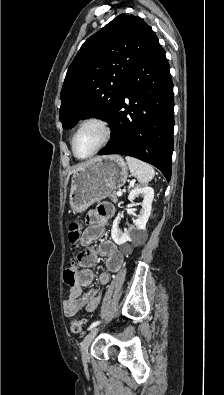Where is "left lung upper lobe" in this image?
<instances>
[{"label":"left lung upper lobe","instance_id":"1","mask_svg":"<svg viewBox=\"0 0 224 395\" xmlns=\"http://www.w3.org/2000/svg\"><path fill=\"white\" fill-rule=\"evenodd\" d=\"M157 41L143 19L126 14L89 37L63 83L59 115L63 128L89 117L109 121L129 76Z\"/></svg>","mask_w":224,"mask_h":395}]
</instances>
